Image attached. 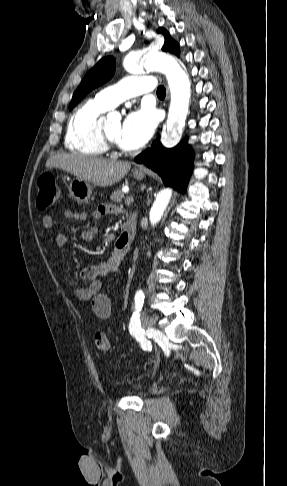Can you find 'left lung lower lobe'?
<instances>
[{"label": "left lung lower lobe", "mask_w": 287, "mask_h": 486, "mask_svg": "<svg viewBox=\"0 0 287 486\" xmlns=\"http://www.w3.org/2000/svg\"><path fill=\"white\" fill-rule=\"evenodd\" d=\"M193 157L194 153L187 144V139L172 149L163 147L157 139L151 148L134 160L158 173L166 186H173L183 192L192 173Z\"/></svg>", "instance_id": "1"}]
</instances>
